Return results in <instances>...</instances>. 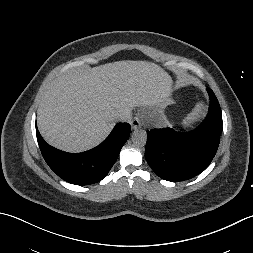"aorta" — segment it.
<instances>
[{
  "mask_svg": "<svg viewBox=\"0 0 253 253\" xmlns=\"http://www.w3.org/2000/svg\"><path fill=\"white\" fill-rule=\"evenodd\" d=\"M131 139L135 146L143 147L147 142V133L144 130H135Z\"/></svg>",
  "mask_w": 253,
  "mask_h": 253,
  "instance_id": "1",
  "label": "aorta"
}]
</instances>
